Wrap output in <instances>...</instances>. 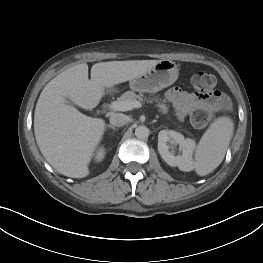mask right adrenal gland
Segmentation results:
<instances>
[{
	"label": "right adrenal gland",
	"instance_id": "1",
	"mask_svg": "<svg viewBox=\"0 0 263 263\" xmlns=\"http://www.w3.org/2000/svg\"><path fill=\"white\" fill-rule=\"evenodd\" d=\"M107 127L111 128L113 130H116V128L114 126H112V125H108Z\"/></svg>",
	"mask_w": 263,
	"mask_h": 263
}]
</instances>
